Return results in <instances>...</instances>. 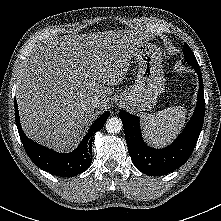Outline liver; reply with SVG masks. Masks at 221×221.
<instances>
[{
    "label": "liver",
    "mask_w": 221,
    "mask_h": 221,
    "mask_svg": "<svg viewBox=\"0 0 221 221\" xmlns=\"http://www.w3.org/2000/svg\"><path fill=\"white\" fill-rule=\"evenodd\" d=\"M148 39L129 30L65 35L40 43L17 78L16 98L24 132L59 152L80 139L100 101L107 108L112 86L126 76L137 47Z\"/></svg>",
    "instance_id": "obj_1"
}]
</instances>
